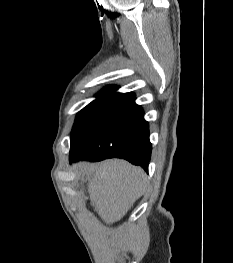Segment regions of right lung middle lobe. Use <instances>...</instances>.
Here are the masks:
<instances>
[{
	"label": "right lung middle lobe",
	"mask_w": 233,
	"mask_h": 263,
	"mask_svg": "<svg viewBox=\"0 0 233 263\" xmlns=\"http://www.w3.org/2000/svg\"><path fill=\"white\" fill-rule=\"evenodd\" d=\"M118 97L100 96L83 108L76 117L72 132L71 141H76L92 129L101 118L112 107Z\"/></svg>",
	"instance_id": "dd1d6c3e"
}]
</instances>
